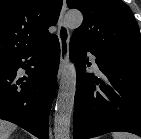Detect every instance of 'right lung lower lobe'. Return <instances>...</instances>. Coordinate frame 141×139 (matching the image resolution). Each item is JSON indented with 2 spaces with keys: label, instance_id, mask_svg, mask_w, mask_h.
I'll return each instance as SVG.
<instances>
[{
  "label": "right lung lower lobe",
  "instance_id": "98d812e1",
  "mask_svg": "<svg viewBox=\"0 0 141 139\" xmlns=\"http://www.w3.org/2000/svg\"><path fill=\"white\" fill-rule=\"evenodd\" d=\"M59 61L57 36L41 46L0 60V119L17 124L39 139H48V117ZM20 67L27 74L22 79L17 76Z\"/></svg>",
  "mask_w": 141,
  "mask_h": 139
}]
</instances>
